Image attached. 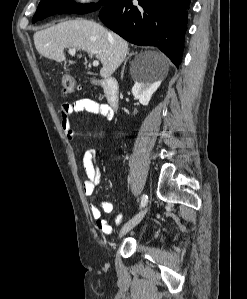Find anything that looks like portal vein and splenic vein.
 Returning a JSON list of instances; mask_svg holds the SVG:
<instances>
[{"instance_id": "portal-vein-and-splenic-vein-1", "label": "portal vein and splenic vein", "mask_w": 247, "mask_h": 299, "mask_svg": "<svg viewBox=\"0 0 247 299\" xmlns=\"http://www.w3.org/2000/svg\"><path fill=\"white\" fill-rule=\"evenodd\" d=\"M69 53L71 55H74L76 53V49L70 48L69 49ZM89 56H90V58H92V54H89ZM92 64H93V66H98L99 65V61L98 60H93Z\"/></svg>"}]
</instances>
